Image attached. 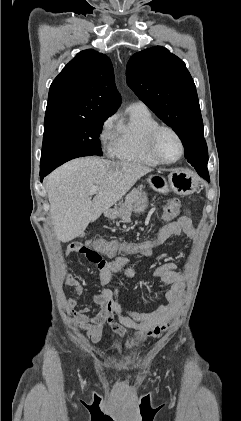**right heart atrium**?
Instances as JSON below:
<instances>
[{"label": "right heart atrium", "mask_w": 241, "mask_h": 421, "mask_svg": "<svg viewBox=\"0 0 241 421\" xmlns=\"http://www.w3.org/2000/svg\"><path fill=\"white\" fill-rule=\"evenodd\" d=\"M115 122V116H108L101 125L100 140L103 145H107L112 141L113 138V124Z\"/></svg>", "instance_id": "d8ad5b80"}]
</instances>
